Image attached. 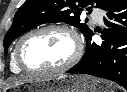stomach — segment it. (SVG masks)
I'll return each mask as SVG.
<instances>
[{
    "label": "stomach",
    "mask_w": 127,
    "mask_h": 92,
    "mask_svg": "<svg viewBox=\"0 0 127 92\" xmlns=\"http://www.w3.org/2000/svg\"><path fill=\"white\" fill-rule=\"evenodd\" d=\"M24 86L30 92H108L98 81L84 75H58L27 82ZM19 89L11 86L6 91L16 92Z\"/></svg>",
    "instance_id": "1"
}]
</instances>
